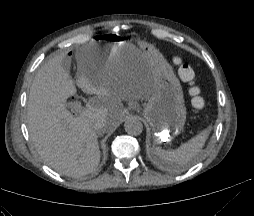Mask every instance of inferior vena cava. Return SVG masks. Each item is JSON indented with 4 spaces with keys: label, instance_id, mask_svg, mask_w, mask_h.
<instances>
[{
    "label": "inferior vena cava",
    "instance_id": "1",
    "mask_svg": "<svg viewBox=\"0 0 254 216\" xmlns=\"http://www.w3.org/2000/svg\"><path fill=\"white\" fill-rule=\"evenodd\" d=\"M105 120H98L97 122H95V124L93 125V129L96 131V132H104L106 131V128H105Z\"/></svg>",
    "mask_w": 254,
    "mask_h": 216
}]
</instances>
